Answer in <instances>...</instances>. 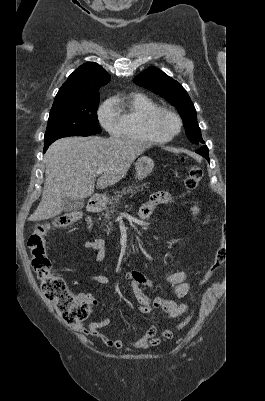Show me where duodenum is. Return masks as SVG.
Returning a JSON list of instances; mask_svg holds the SVG:
<instances>
[{
    "label": "duodenum",
    "instance_id": "duodenum-1",
    "mask_svg": "<svg viewBox=\"0 0 265 401\" xmlns=\"http://www.w3.org/2000/svg\"><path fill=\"white\" fill-rule=\"evenodd\" d=\"M103 207V201L100 197L98 196H93L87 206V210L89 212V215L86 217V222L89 230L97 236L96 229H95V222L93 218V214L99 212Z\"/></svg>",
    "mask_w": 265,
    "mask_h": 401
}]
</instances>
